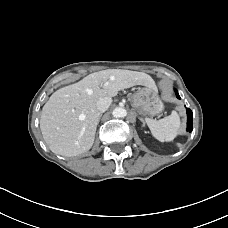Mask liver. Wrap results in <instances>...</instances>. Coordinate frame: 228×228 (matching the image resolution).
Wrapping results in <instances>:
<instances>
[{"mask_svg":"<svg viewBox=\"0 0 228 228\" xmlns=\"http://www.w3.org/2000/svg\"><path fill=\"white\" fill-rule=\"evenodd\" d=\"M135 85L157 89L146 73L108 69L57 90L42 109L40 129L45 143L52 152L67 157L88 151L100 118L97 102Z\"/></svg>","mask_w":228,"mask_h":228,"instance_id":"liver-1","label":"liver"}]
</instances>
